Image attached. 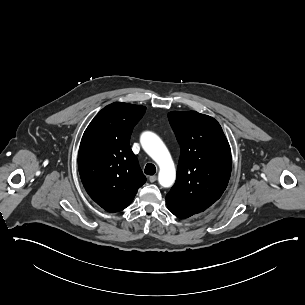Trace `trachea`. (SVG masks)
Listing matches in <instances>:
<instances>
[{"label": "trachea", "mask_w": 305, "mask_h": 305, "mask_svg": "<svg viewBox=\"0 0 305 305\" xmlns=\"http://www.w3.org/2000/svg\"><path fill=\"white\" fill-rule=\"evenodd\" d=\"M156 173V167L154 164L148 163L145 166V174L147 175H154Z\"/></svg>", "instance_id": "obj_1"}]
</instances>
